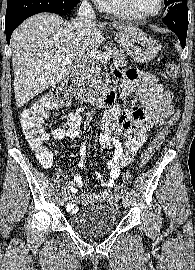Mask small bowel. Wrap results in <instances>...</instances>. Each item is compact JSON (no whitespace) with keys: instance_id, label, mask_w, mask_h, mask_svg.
<instances>
[{"instance_id":"c3829d8e","label":"small bowel","mask_w":195,"mask_h":270,"mask_svg":"<svg viewBox=\"0 0 195 270\" xmlns=\"http://www.w3.org/2000/svg\"><path fill=\"white\" fill-rule=\"evenodd\" d=\"M115 79L121 83L122 94L133 95L142 107L114 105L104 119L103 133L100 136V146L104 152H110L111 158L107 163L109 177L106 179L97 172L101 186L99 193L85 195L77 194L83 180L75 175L68 186L70 196L67 210L74 214L78 204L88 202H112L116 199L111 189L115 180L120 176L121 168L132 162L133 157L145 143L149 133L157 129L165 118L173 114L171 105L172 95L164 83L152 74L140 73L136 69H128L124 73L116 72ZM82 110L72 111L63 126L54 129L51 135L54 139H77L80 142L79 153L82 158L86 155V139L81 131ZM122 142L125 143L123 148ZM83 168V160L79 163Z\"/></svg>"}]
</instances>
